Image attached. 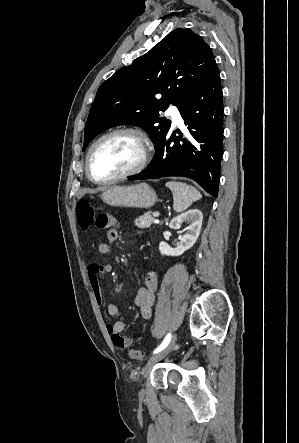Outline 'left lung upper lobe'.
<instances>
[{
	"instance_id": "left-lung-upper-lobe-1",
	"label": "left lung upper lobe",
	"mask_w": 299,
	"mask_h": 443,
	"mask_svg": "<svg viewBox=\"0 0 299 443\" xmlns=\"http://www.w3.org/2000/svg\"><path fill=\"white\" fill-rule=\"evenodd\" d=\"M215 64L211 48L199 35L190 29L173 30L102 83L85 126L83 150L96 135L121 124L142 127L157 148L171 126L159 112L169 104L179 109Z\"/></svg>"
}]
</instances>
